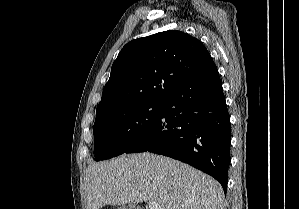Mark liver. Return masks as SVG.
<instances>
[{"label":"liver","instance_id":"obj_1","mask_svg":"<svg viewBox=\"0 0 299 209\" xmlns=\"http://www.w3.org/2000/svg\"><path fill=\"white\" fill-rule=\"evenodd\" d=\"M88 209L156 202L161 209H223L221 185L177 160L148 152L122 155L86 169Z\"/></svg>","mask_w":299,"mask_h":209}]
</instances>
